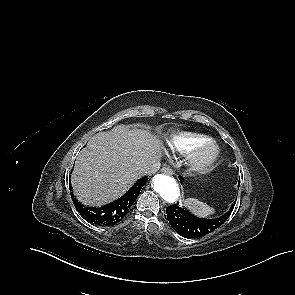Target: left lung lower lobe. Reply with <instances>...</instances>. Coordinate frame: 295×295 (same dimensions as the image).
Segmentation results:
<instances>
[{"instance_id": "0a47b994", "label": "left lung lower lobe", "mask_w": 295, "mask_h": 295, "mask_svg": "<svg viewBox=\"0 0 295 295\" xmlns=\"http://www.w3.org/2000/svg\"><path fill=\"white\" fill-rule=\"evenodd\" d=\"M181 180L182 178L180 177ZM234 206L235 202L227 213L215 219L196 217L188 210L180 207L179 203L167 207L166 214L170 225L177 233L186 238H198L220 227L228 219Z\"/></svg>"}]
</instances>
